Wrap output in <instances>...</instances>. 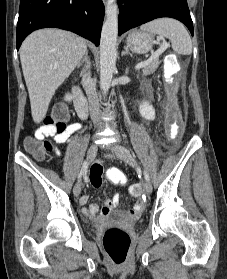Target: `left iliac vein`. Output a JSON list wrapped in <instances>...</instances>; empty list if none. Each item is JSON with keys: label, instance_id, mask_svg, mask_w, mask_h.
<instances>
[{"label": "left iliac vein", "instance_id": "left-iliac-vein-1", "mask_svg": "<svg viewBox=\"0 0 227 279\" xmlns=\"http://www.w3.org/2000/svg\"><path fill=\"white\" fill-rule=\"evenodd\" d=\"M110 150L112 153H114L118 158H120L124 162L128 163L129 165H131L133 167H138L137 161L132 156V154L129 152V150H127L126 148L115 143L110 146ZM143 189H144L145 193L150 194L152 192L151 183L147 180L144 181Z\"/></svg>", "mask_w": 227, "mask_h": 279}]
</instances>
